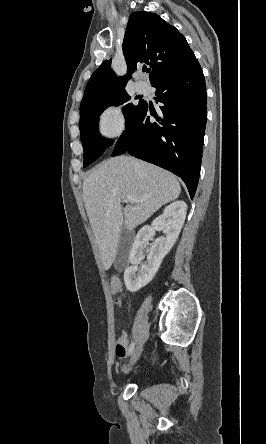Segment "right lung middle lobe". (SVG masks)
I'll return each mask as SVG.
<instances>
[{
	"label": "right lung middle lobe",
	"instance_id": "obj_1",
	"mask_svg": "<svg viewBox=\"0 0 266 444\" xmlns=\"http://www.w3.org/2000/svg\"><path fill=\"white\" fill-rule=\"evenodd\" d=\"M130 99L126 91L121 89L81 104L79 128L84 149V167L98 159L113 144L102 138L98 131L99 115L109 106L124 105L122 111L128 126L140 114L145 104L142 100L133 104Z\"/></svg>",
	"mask_w": 266,
	"mask_h": 444
}]
</instances>
